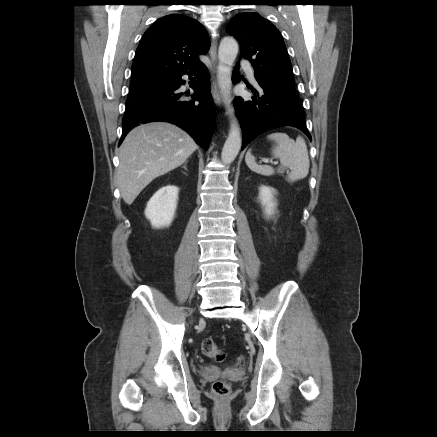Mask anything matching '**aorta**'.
<instances>
[{"instance_id": "762f6f07", "label": "aorta", "mask_w": 437, "mask_h": 437, "mask_svg": "<svg viewBox=\"0 0 437 437\" xmlns=\"http://www.w3.org/2000/svg\"><path fill=\"white\" fill-rule=\"evenodd\" d=\"M238 54V44L232 37H224L219 46L218 57V84L223 94V100L227 113L230 116L231 124L228 137L222 149V162L231 164L237 157L242 144L240 127L235 118L234 108L231 105L230 90L232 85V66Z\"/></svg>"}]
</instances>
